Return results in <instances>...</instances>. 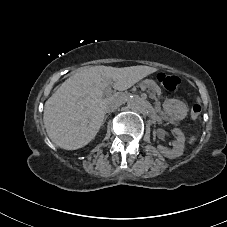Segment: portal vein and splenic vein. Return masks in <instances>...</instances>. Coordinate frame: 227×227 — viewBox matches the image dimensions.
I'll return each mask as SVG.
<instances>
[{"label": "portal vein and splenic vein", "mask_w": 227, "mask_h": 227, "mask_svg": "<svg viewBox=\"0 0 227 227\" xmlns=\"http://www.w3.org/2000/svg\"><path fill=\"white\" fill-rule=\"evenodd\" d=\"M140 88H141L142 91H145L146 90V87L143 86V85Z\"/></svg>", "instance_id": "obj_1"}]
</instances>
